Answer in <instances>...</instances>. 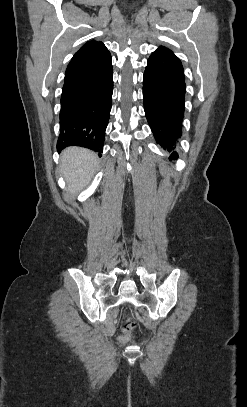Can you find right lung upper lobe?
I'll use <instances>...</instances> for the list:
<instances>
[{
  "mask_svg": "<svg viewBox=\"0 0 247 407\" xmlns=\"http://www.w3.org/2000/svg\"><path fill=\"white\" fill-rule=\"evenodd\" d=\"M108 56H110V52L102 42L93 40L87 42L71 59L66 70L65 79L84 72Z\"/></svg>",
  "mask_w": 247,
  "mask_h": 407,
  "instance_id": "obj_1",
  "label": "right lung upper lobe"
}]
</instances>
